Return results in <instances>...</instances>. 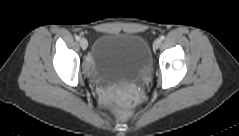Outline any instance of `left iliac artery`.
Wrapping results in <instances>:
<instances>
[{
  "label": "left iliac artery",
  "mask_w": 239,
  "mask_h": 136,
  "mask_svg": "<svg viewBox=\"0 0 239 136\" xmlns=\"http://www.w3.org/2000/svg\"><path fill=\"white\" fill-rule=\"evenodd\" d=\"M160 39H161V40H164V39H165V36H164V35L160 36Z\"/></svg>",
  "instance_id": "left-iliac-artery-1"
}]
</instances>
